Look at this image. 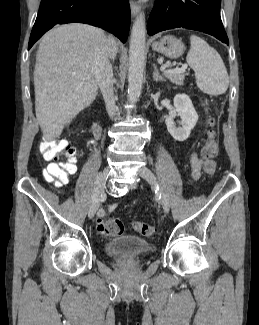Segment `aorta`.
Here are the masks:
<instances>
[{"label":"aorta","instance_id":"762f6f07","mask_svg":"<svg viewBox=\"0 0 259 325\" xmlns=\"http://www.w3.org/2000/svg\"><path fill=\"white\" fill-rule=\"evenodd\" d=\"M146 22L144 13H140L134 21L129 49L128 100H138L143 84L145 60Z\"/></svg>","mask_w":259,"mask_h":325}]
</instances>
